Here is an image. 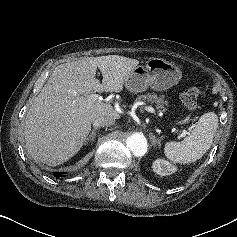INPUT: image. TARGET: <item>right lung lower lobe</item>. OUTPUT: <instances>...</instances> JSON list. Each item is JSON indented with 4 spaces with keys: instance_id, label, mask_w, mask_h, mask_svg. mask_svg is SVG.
Masks as SVG:
<instances>
[{
    "instance_id": "98d812e1",
    "label": "right lung lower lobe",
    "mask_w": 237,
    "mask_h": 237,
    "mask_svg": "<svg viewBox=\"0 0 237 237\" xmlns=\"http://www.w3.org/2000/svg\"><path fill=\"white\" fill-rule=\"evenodd\" d=\"M63 174H64V173H61V172H55V173H53V175H54L55 177L64 176Z\"/></svg>"
}]
</instances>
